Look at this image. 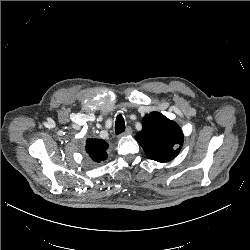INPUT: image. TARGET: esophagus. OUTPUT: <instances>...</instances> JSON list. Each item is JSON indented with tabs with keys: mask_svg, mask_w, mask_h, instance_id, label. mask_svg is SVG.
<instances>
[{
	"mask_svg": "<svg viewBox=\"0 0 250 250\" xmlns=\"http://www.w3.org/2000/svg\"><path fill=\"white\" fill-rule=\"evenodd\" d=\"M132 133V129H131V127H127L126 128V130H125V132H123L122 134H120L119 135V137L121 138V137H123V136H128V135H130Z\"/></svg>",
	"mask_w": 250,
	"mask_h": 250,
	"instance_id": "esophagus-1",
	"label": "esophagus"
}]
</instances>
